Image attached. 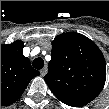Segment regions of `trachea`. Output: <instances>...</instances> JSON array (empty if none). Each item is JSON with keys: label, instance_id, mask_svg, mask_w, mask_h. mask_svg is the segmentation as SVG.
<instances>
[{"label": "trachea", "instance_id": "obj_1", "mask_svg": "<svg viewBox=\"0 0 109 109\" xmlns=\"http://www.w3.org/2000/svg\"><path fill=\"white\" fill-rule=\"evenodd\" d=\"M32 65L35 69H42L44 66V61L42 58H36L34 59Z\"/></svg>", "mask_w": 109, "mask_h": 109}]
</instances>
